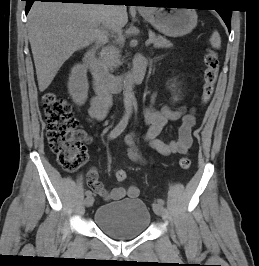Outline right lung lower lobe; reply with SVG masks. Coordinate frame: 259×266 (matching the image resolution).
Listing matches in <instances>:
<instances>
[{"instance_id": "right-lung-lower-lobe-1", "label": "right lung lower lobe", "mask_w": 259, "mask_h": 266, "mask_svg": "<svg viewBox=\"0 0 259 266\" xmlns=\"http://www.w3.org/2000/svg\"><path fill=\"white\" fill-rule=\"evenodd\" d=\"M22 1H26L25 13L27 14L34 1L62 2V3H84V4H106V3H108V1H125V0H22Z\"/></svg>"}]
</instances>
